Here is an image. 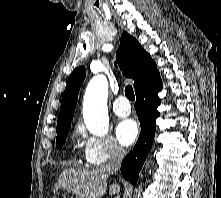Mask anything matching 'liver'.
Returning <instances> with one entry per match:
<instances>
[{"mask_svg":"<svg viewBox=\"0 0 221 198\" xmlns=\"http://www.w3.org/2000/svg\"><path fill=\"white\" fill-rule=\"evenodd\" d=\"M110 173L104 168L65 169L59 176L54 191L66 190L80 198H101L107 191V179ZM120 186L113 183L109 195L118 194Z\"/></svg>","mask_w":221,"mask_h":198,"instance_id":"obj_1","label":"liver"}]
</instances>
